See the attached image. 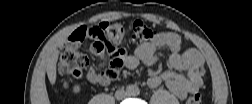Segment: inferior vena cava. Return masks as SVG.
<instances>
[{"mask_svg": "<svg viewBox=\"0 0 252 104\" xmlns=\"http://www.w3.org/2000/svg\"><path fill=\"white\" fill-rule=\"evenodd\" d=\"M126 96H127V93L123 89L117 90L115 92V98L117 100H122V99L126 98Z\"/></svg>", "mask_w": 252, "mask_h": 104, "instance_id": "obj_1", "label": "inferior vena cava"}]
</instances>
